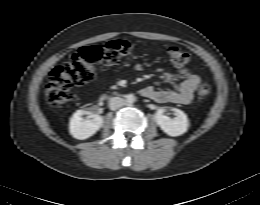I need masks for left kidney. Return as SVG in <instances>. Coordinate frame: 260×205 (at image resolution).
I'll return each mask as SVG.
<instances>
[{"instance_id": "5707ae66", "label": "left kidney", "mask_w": 260, "mask_h": 205, "mask_svg": "<svg viewBox=\"0 0 260 205\" xmlns=\"http://www.w3.org/2000/svg\"><path fill=\"white\" fill-rule=\"evenodd\" d=\"M175 118H170L164 115V109L160 108L155 113L154 118L158 126L169 136L176 137L187 132L189 121L187 115L179 110L174 109Z\"/></svg>"}]
</instances>
